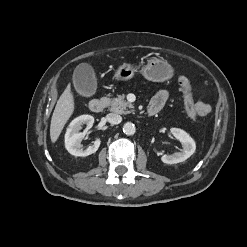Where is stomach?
Wrapping results in <instances>:
<instances>
[{"instance_id":"1","label":"stomach","mask_w":247,"mask_h":247,"mask_svg":"<svg viewBox=\"0 0 247 247\" xmlns=\"http://www.w3.org/2000/svg\"><path fill=\"white\" fill-rule=\"evenodd\" d=\"M137 69L131 64L123 63L116 70L114 78L117 81H127L134 77ZM172 66L162 58H151L141 67V74L149 81L164 82L173 76Z\"/></svg>"}]
</instances>
